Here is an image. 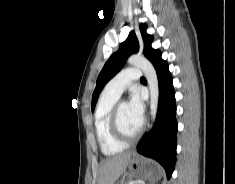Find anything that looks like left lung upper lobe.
Wrapping results in <instances>:
<instances>
[{
    "instance_id": "left-lung-upper-lobe-1",
    "label": "left lung upper lobe",
    "mask_w": 235,
    "mask_h": 184,
    "mask_svg": "<svg viewBox=\"0 0 235 184\" xmlns=\"http://www.w3.org/2000/svg\"><path fill=\"white\" fill-rule=\"evenodd\" d=\"M146 24L140 25V32L143 40V55L150 60L155 51L151 47L153 36L146 33ZM139 51V42L134 32H131L128 38L121 43L119 49L111 55L102 68L96 82V87L92 95V111L95 108L99 93L105 84L112 79L124 66L126 59L133 53Z\"/></svg>"
}]
</instances>
